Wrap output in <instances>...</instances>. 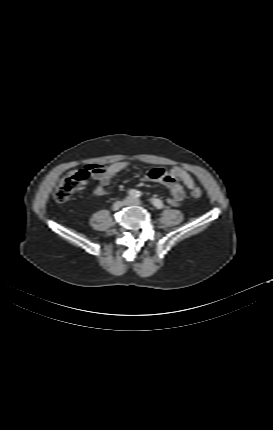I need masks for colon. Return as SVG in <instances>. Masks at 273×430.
Wrapping results in <instances>:
<instances>
[{
	"instance_id": "5ec220e1",
	"label": "colon",
	"mask_w": 273,
	"mask_h": 430,
	"mask_svg": "<svg viewBox=\"0 0 273 430\" xmlns=\"http://www.w3.org/2000/svg\"><path fill=\"white\" fill-rule=\"evenodd\" d=\"M90 176L91 174L87 175L84 173V169L67 173L55 190V200L58 202L67 201L75 192L84 189L88 185ZM190 194L193 198H200L202 191L196 187L191 190Z\"/></svg>"
}]
</instances>
